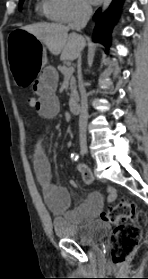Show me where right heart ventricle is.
Segmentation results:
<instances>
[{
  "instance_id": "right-heart-ventricle-1",
  "label": "right heart ventricle",
  "mask_w": 148,
  "mask_h": 279,
  "mask_svg": "<svg viewBox=\"0 0 148 279\" xmlns=\"http://www.w3.org/2000/svg\"><path fill=\"white\" fill-rule=\"evenodd\" d=\"M41 8L43 10V12L45 13V15L49 18H51L48 14V1L47 0H43L42 3H41ZM52 19V18H51Z\"/></svg>"
}]
</instances>
